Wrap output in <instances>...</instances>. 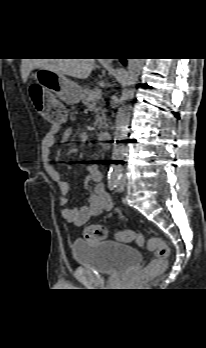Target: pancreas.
<instances>
[{
  "instance_id": "pancreas-1",
  "label": "pancreas",
  "mask_w": 206,
  "mask_h": 348,
  "mask_svg": "<svg viewBox=\"0 0 206 348\" xmlns=\"http://www.w3.org/2000/svg\"><path fill=\"white\" fill-rule=\"evenodd\" d=\"M92 89L86 87L82 95V101L88 109H92L95 113L94 127L97 129H103L106 125V109L103 107V103L97 105V100L91 99Z\"/></svg>"
}]
</instances>
